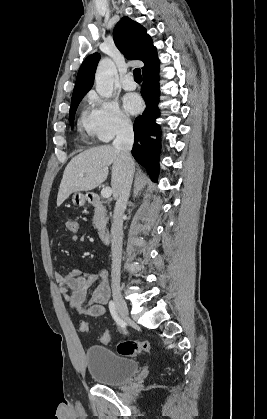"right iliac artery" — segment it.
<instances>
[{
    "mask_svg": "<svg viewBox=\"0 0 267 419\" xmlns=\"http://www.w3.org/2000/svg\"><path fill=\"white\" fill-rule=\"evenodd\" d=\"M109 310H110V313H111V315H112V317H113V319L115 320V322L121 327V328H123L124 330H125V323L123 322V320L120 318V316H119V314H118V312H117V310H116V307H115V303L111 300L110 302H109ZM126 333V332H125Z\"/></svg>",
    "mask_w": 267,
    "mask_h": 419,
    "instance_id": "right-iliac-artery-1",
    "label": "right iliac artery"
}]
</instances>
